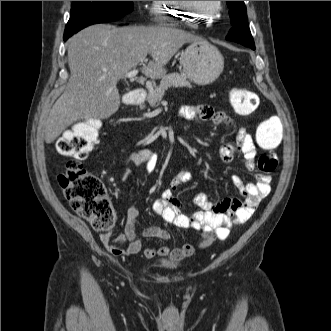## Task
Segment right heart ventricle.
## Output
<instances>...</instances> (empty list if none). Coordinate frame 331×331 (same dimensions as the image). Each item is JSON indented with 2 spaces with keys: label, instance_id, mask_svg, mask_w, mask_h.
I'll return each mask as SVG.
<instances>
[{
  "label": "right heart ventricle",
  "instance_id": "1",
  "mask_svg": "<svg viewBox=\"0 0 331 331\" xmlns=\"http://www.w3.org/2000/svg\"><path fill=\"white\" fill-rule=\"evenodd\" d=\"M152 14L156 22L166 24H177L182 20L188 25H196V19H183L182 17H191V13L184 11L180 1H152ZM185 20V21H184Z\"/></svg>",
  "mask_w": 331,
  "mask_h": 331
}]
</instances>
